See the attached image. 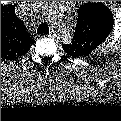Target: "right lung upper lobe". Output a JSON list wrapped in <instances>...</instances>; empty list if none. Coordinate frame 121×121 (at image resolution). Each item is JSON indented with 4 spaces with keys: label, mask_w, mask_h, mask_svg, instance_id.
I'll return each instance as SVG.
<instances>
[{
    "label": "right lung upper lobe",
    "mask_w": 121,
    "mask_h": 121,
    "mask_svg": "<svg viewBox=\"0 0 121 121\" xmlns=\"http://www.w3.org/2000/svg\"><path fill=\"white\" fill-rule=\"evenodd\" d=\"M34 39L15 15L13 5L1 6V57L15 59L26 54Z\"/></svg>",
    "instance_id": "right-lung-upper-lobe-1"
}]
</instances>
